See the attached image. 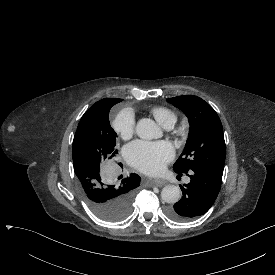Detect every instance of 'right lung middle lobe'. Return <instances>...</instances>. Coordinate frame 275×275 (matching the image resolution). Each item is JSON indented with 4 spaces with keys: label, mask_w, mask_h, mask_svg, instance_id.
Instances as JSON below:
<instances>
[{
    "label": "right lung middle lobe",
    "mask_w": 275,
    "mask_h": 275,
    "mask_svg": "<svg viewBox=\"0 0 275 275\" xmlns=\"http://www.w3.org/2000/svg\"><path fill=\"white\" fill-rule=\"evenodd\" d=\"M115 104L89 108L73 140V165L80 193L97 216L109 221L122 220L129 214L141 180L123 167L117 134L109 122V111Z\"/></svg>",
    "instance_id": "right-lung-middle-lobe-1"
}]
</instances>
